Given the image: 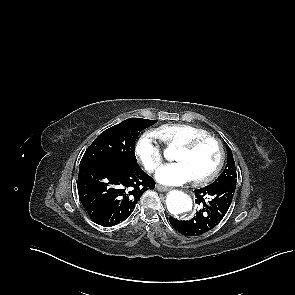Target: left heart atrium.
Wrapping results in <instances>:
<instances>
[{"mask_svg":"<svg viewBox=\"0 0 295 295\" xmlns=\"http://www.w3.org/2000/svg\"><path fill=\"white\" fill-rule=\"evenodd\" d=\"M155 177L161 184L172 186L182 185L195 179L190 168L183 162L161 167Z\"/></svg>","mask_w":295,"mask_h":295,"instance_id":"obj_1","label":"left heart atrium"}]
</instances>
